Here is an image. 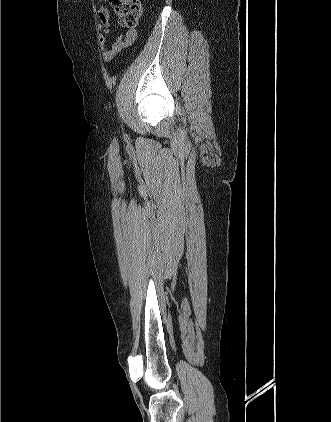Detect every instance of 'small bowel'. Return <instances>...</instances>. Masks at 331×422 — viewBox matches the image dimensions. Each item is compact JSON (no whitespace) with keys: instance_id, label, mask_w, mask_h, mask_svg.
Here are the masks:
<instances>
[{"instance_id":"obj_1","label":"small bowel","mask_w":331,"mask_h":422,"mask_svg":"<svg viewBox=\"0 0 331 422\" xmlns=\"http://www.w3.org/2000/svg\"><path fill=\"white\" fill-rule=\"evenodd\" d=\"M106 0H100L101 3ZM98 28L100 31L99 44L102 48V56L105 62H111L121 50L131 44L136 37L134 30H128L126 33H121L114 42L107 43V36L115 30V25L108 23L109 12L108 9L101 4L98 11Z\"/></svg>"}]
</instances>
